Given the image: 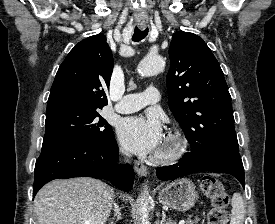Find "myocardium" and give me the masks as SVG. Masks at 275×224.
Wrapping results in <instances>:
<instances>
[{
	"label": "myocardium",
	"instance_id": "obj_1",
	"mask_svg": "<svg viewBox=\"0 0 275 224\" xmlns=\"http://www.w3.org/2000/svg\"><path fill=\"white\" fill-rule=\"evenodd\" d=\"M187 141L178 132L169 133L154 160L159 163H170L178 160L186 151Z\"/></svg>",
	"mask_w": 275,
	"mask_h": 224
}]
</instances>
